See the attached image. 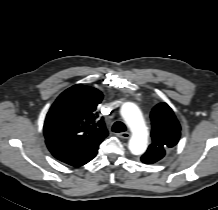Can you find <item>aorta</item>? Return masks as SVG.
<instances>
[{
	"label": "aorta",
	"mask_w": 218,
	"mask_h": 210,
	"mask_svg": "<svg viewBox=\"0 0 218 210\" xmlns=\"http://www.w3.org/2000/svg\"><path fill=\"white\" fill-rule=\"evenodd\" d=\"M120 113L132 132L128 144L129 150L134 155L143 154L148 146V130L140 109L136 104L126 102L122 105Z\"/></svg>",
	"instance_id": "obj_1"
}]
</instances>
